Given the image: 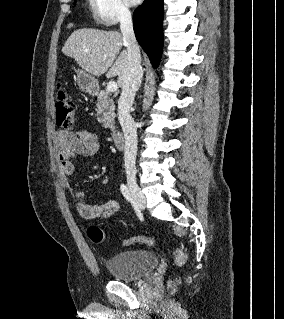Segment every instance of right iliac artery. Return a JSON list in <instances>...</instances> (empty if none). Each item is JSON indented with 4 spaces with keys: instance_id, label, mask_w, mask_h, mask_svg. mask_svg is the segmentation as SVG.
I'll list each match as a JSON object with an SVG mask.
<instances>
[{
    "instance_id": "obj_1",
    "label": "right iliac artery",
    "mask_w": 284,
    "mask_h": 319,
    "mask_svg": "<svg viewBox=\"0 0 284 319\" xmlns=\"http://www.w3.org/2000/svg\"><path fill=\"white\" fill-rule=\"evenodd\" d=\"M120 189H121V192H122L123 196L128 201H132L131 193H130L128 187L125 184H122Z\"/></svg>"
}]
</instances>
